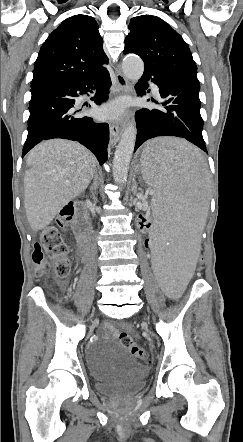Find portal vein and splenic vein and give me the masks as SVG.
<instances>
[{
  "label": "portal vein and splenic vein",
  "instance_id": "18ae733b",
  "mask_svg": "<svg viewBox=\"0 0 243 442\" xmlns=\"http://www.w3.org/2000/svg\"><path fill=\"white\" fill-rule=\"evenodd\" d=\"M66 183H68V181H66ZM149 193L152 195V194H154V191L150 190Z\"/></svg>",
  "mask_w": 243,
  "mask_h": 442
}]
</instances>
